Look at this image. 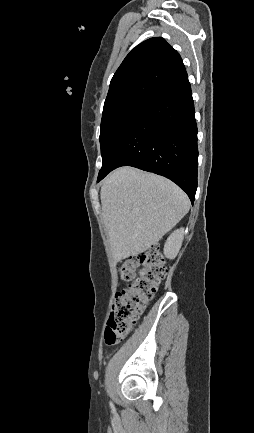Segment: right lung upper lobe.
<instances>
[{"instance_id": "cb5924a9", "label": "right lung upper lobe", "mask_w": 254, "mask_h": 433, "mask_svg": "<svg viewBox=\"0 0 254 433\" xmlns=\"http://www.w3.org/2000/svg\"><path fill=\"white\" fill-rule=\"evenodd\" d=\"M183 71L180 55L165 39L145 40L126 56L115 72L104 108L124 100H148Z\"/></svg>"}]
</instances>
